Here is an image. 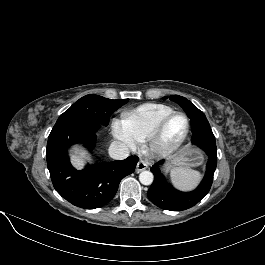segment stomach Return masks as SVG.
I'll return each mask as SVG.
<instances>
[{"instance_id": "stomach-1", "label": "stomach", "mask_w": 265, "mask_h": 265, "mask_svg": "<svg viewBox=\"0 0 265 265\" xmlns=\"http://www.w3.org/2000/svg\"><path fill=\"white\" fill-rule=\"evenodd\" d=\"M202 162V153L196 148L187 147L172 159L170 167H196L201 165Z\"/></svg>"}]
</instances>
